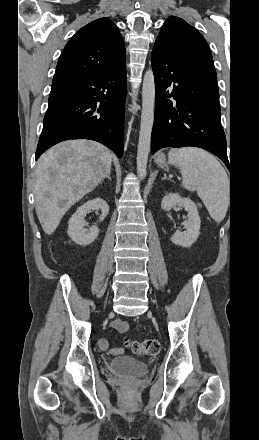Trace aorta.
Wrapping results in <instances>:
<instances>
[{
	"label": "aorta",
	"instance_id": "1",
	"mask_svg": "<svg viewBox=\"0 0 259 440\" xmlns=\"http://www.w3.org/2000/svg\"><path fill=\"white\" fill-rule=\"evenodd\" d=\"M155 81L151 70H148L143 79L142 87V114L140 135L137 151V175L140 179L146 176L150 139L154 122Z\"/></svg>",
	"mask_w": 259,
	"mask_h": 440
}]
</instances>
